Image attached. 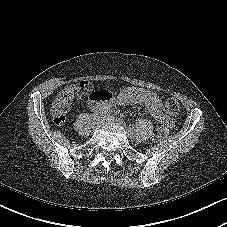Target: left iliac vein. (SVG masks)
Here are the masks:
<instances>
[{"mask_svg":"<svg viewBox=\"0 0 227 227\" xmlns=\"http://www.w3.org/2000/svg\"><path fill=\"white\" fill-rule=\"evenodd\" d=\"M110 120L119 123L121 126H123L126 129L128 136L133 137V132L131 130H129L128 128H126L125 123L122 120L114 119V118H110Z\"/></svg>","mask_w":227,"mask_h":227,"instance_id":"left-iliac-vein-1","label":"left iliac vein"}]
</instances>
